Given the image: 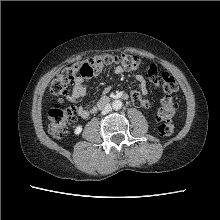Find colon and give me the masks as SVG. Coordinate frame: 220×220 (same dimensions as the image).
Masks as SVG:
<instances>
[{
  "label": "colon",
  "instance_id": "1",
  "mask_svg": "<svg viewBox=\"0 0 220 220\" xmlns=\"http://www.w3.org/2000/svg\"><path fill=\"white\" fill-rule=\"evenodd\" d=\"M112 64L120 65L127 71H137L144 63L141 58L131 54H104L94 56L87 61L61 68L49 85V93L56 100L67 98L70 94V86L78 75H86L90 69ZM145 73L150 82L160 86L165 93L158 110V118L161 122L159 133L164 137L170 136L174 132L175 127L172 120L177 111V105L172 99L171 94L178 90L177 81L168 72L159 73L154 64L147 66ZM74 120V107H63L55 104L49 111L50 133L56 138L64 136Z\"/></svg>",
  "mask_w": 220,
  "mask_h": 220
}]
</instances>
